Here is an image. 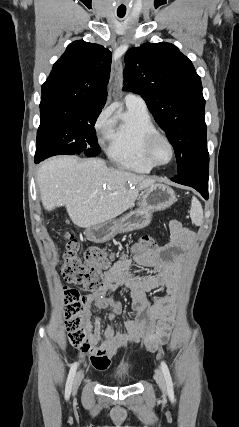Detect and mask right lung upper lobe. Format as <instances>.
<instances>
[{
  "mask_svg": "<svg viewBox=\"0 0 239 427\" xmlns=\"http://www.w3.org/2000/svg\"><path fill=\"white\" fill-rule=\"evenodd\" d=\"M111 58V52L101 45L83 40L72 42L42 85L41 101L104 107Z\"/></svg>",
  "mask_w": 239,
  "mask_h": 427,
  "instance_id": "obj_1",
  "label": "right lung upper lobe"
}]
</instances>
